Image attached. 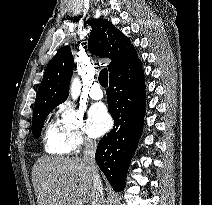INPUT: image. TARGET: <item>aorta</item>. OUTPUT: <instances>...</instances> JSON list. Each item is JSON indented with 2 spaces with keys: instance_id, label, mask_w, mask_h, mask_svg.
Segmentation results:
<instances>
[{
  "instance_id": "762f6f07",
  "label": "aorta",
  "mask_w": 212,
  "mask_h": 205,
  "mask_svg": "<svg viewBox=\"0 0 212 205\" xmlns=\"http://www.w3.org/2000/svg\"><path fill=\"white\" fill-rule=\"evenodd\" d=\"M81 84L78 78H74L70 86V95L75 100L80 94Z\"/></svg>"
}]
</instances>
